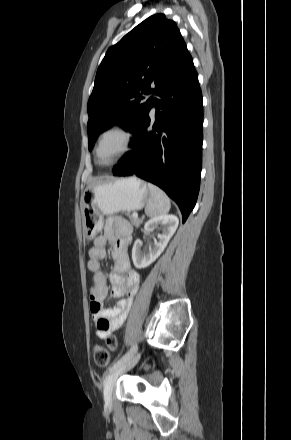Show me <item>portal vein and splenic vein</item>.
Returning <instances> with one entry per match:
<instances>
[{
	"mask_svg": "<svg viewBox=\"0 0 291 440\" xmlns=\"http://www.w3.org/2000/svg\"><path fill=\"white\" fill-rule=\"evenodd\" d=\"M132 216L135 217V218H138V214L135 213V212L132 214Z\"/></svg>",
	"mask_w": 291,
	"mask_h": 440,
	"instance_id": "18ae733b",
	"label": "portal vein and splenic vein"
}]
</instances>
